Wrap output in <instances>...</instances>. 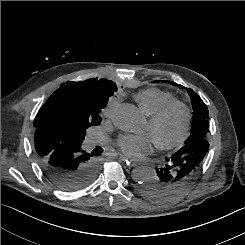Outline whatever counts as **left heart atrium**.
Instances as JSON below:
<instances>
[{"mask_svg": "<svg viewBox=\"0 0 245 245\" xmlns=\"http://www.w3.org/2000/svg\"><path fill=\"white\" fill-rule=\"evenodd\" d=\"M117 146L125 156L140 160L152 152L153 140L149 135H124L118 139Z\"/></svg>", "mask_w": 245, "mask_h": 245, "instance_id": "left-heart-atrium-1", "label": "left heart atrium"}]
</instances>
